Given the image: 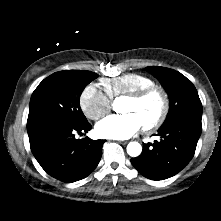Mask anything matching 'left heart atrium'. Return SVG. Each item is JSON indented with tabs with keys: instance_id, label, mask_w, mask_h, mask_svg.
<instances>
[{
	"instance_id": "left-heart-atrium-1",
	"label": "left heart atrium",
	"mask_w": 221,
	"mask_h": 221,
	"mask_svg": "<svg viewBox=\"0 0 221 221\" xmlns=\"http://www.w3.org/2000/svg\"><path fill=\"white\" fill-rule=\"evenodd\" d=\"M142 125L133 113L110 115L96 125V132L103 138L127 139L137 133Z\"/></svg>"
}]
</instances>
